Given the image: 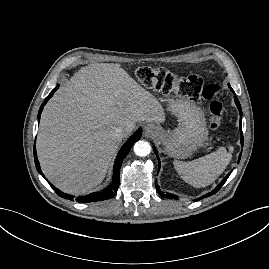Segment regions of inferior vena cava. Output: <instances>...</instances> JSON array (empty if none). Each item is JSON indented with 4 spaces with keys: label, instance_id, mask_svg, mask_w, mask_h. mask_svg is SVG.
Here are the masks:
<instances>
[{
    "label": "inferior vena cava",
    "instance_id": "obj_1",
    "mask_svg": "<svg viewBox=\"0 0 269 269\" xmlns=\"http://www.w3.org/2000/svg\"><path fill=\"white\" fill-rule=\"evenodd\" d=\"M126 132V128L124 126L117 127L115 130V134L118 138L124 137Z\"/></svg>",
    "mask_w": 269,
    "mask_h": 269
}]
</instances>
